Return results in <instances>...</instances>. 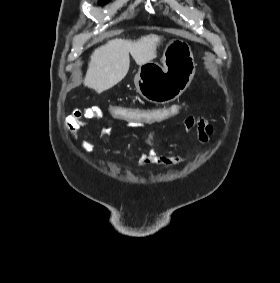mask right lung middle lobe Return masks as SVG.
Listing matches in <instances>:
<instances>
[{
    "mask_svg": "<svg viewBox=\"0 0 280 283\" xmlns=\"http://www.w3.org/2000/svg\"><path fill=\"white\" fill-rule=\"evenodd\" d=\"M108 0H100V4H104V3H107Z\"/></svg>",
    "mask_w": 280,
    "mask_h": 283,
    "instance_id": "1",
    "label": "right lung middle lobe"
}]
</instances>
